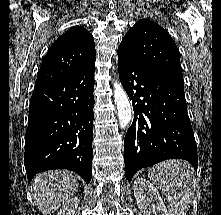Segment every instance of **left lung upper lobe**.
Masks as SVG:
<instances>
[{"label":"left lung upper lobe","mask_w":221,"mask_h":215,"mask_svg":"<svg viewBox=\"0 0 221 215\" xmlns=\"http://www.w3.org/2000/svg\"><path fill=\"white\" fill-rule=\"evenodd\" d=\"M118 51L140 67L184 88L177 46L157 23L139 20L122 39Z\"/></svg>","instance_id":"obj_1"}]
</instances>
